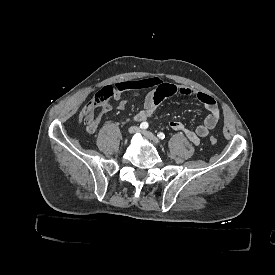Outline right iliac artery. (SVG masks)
Wrapping results in <instances>:
<instances>
[{"mask_svg":"<svg viewBox=\"0 0 275 275\" xmlns=\"http://www.w3.org/2000/svg\"><path fill=\"white\" fill-rule=\"evenodd\" d=\"M140 128H141V129H147V128H148V123H147V122H142V123L140 124Z\"/></svg>","mask_w":275,"mask_h":275,"instance_id":"1","label":"right iliac artery"}]
</instances>
